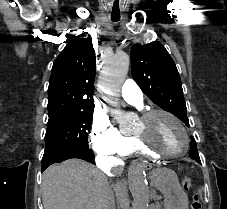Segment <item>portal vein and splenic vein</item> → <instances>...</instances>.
<instances>
[{
	"label": "portal vein and splenic vein",
	"mask_w": 227,
	"mask_h": 209,
	"mask_svg": "<svg viewBox=\"0 0 227 209\" xmlns=\"http://www.w3.org/2000/svg\"><path fill=\"white\" fill-rule=\"evenodd\" d=\"M156 198L159 200V199L162 198V195L161 194H158Z\"/></svg>",
	"instance_id": "18ae733b"
}]
</instances>
